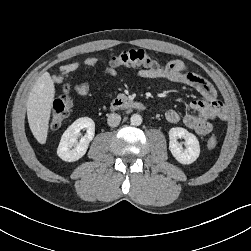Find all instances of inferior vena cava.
Here are the masks:
<instances>
[{
    "instance_id": "1",
    "label": "inferior vena cava",
    "mask_w": 251,
    "mask_h": 251,
    "mask_svg": "<svg viewBox=\"0 0 251 251\" xmlns=\"http://www.w3.org/2000/svg\"><path fill=\"white\" fill-rule=\"evenodd\" d=\"M121 121V116L116 113L108 115L107 123L110 127H117Z\"/></svg>"
}]
</instances>
